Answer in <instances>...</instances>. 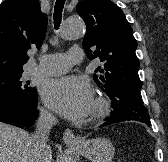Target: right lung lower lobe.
Wrapping results in <instances>:
<instances>
[{
    "mask_svg": "<svg viewBox=\"0 0 168 162\" xmlns=\"http://www.w3.org/2000/svg\"><path fill=\"white\" fill-rule=\"evenodd\" d=\"M37 95L29 102L0 98V122L17 127H29L37 118Z\"/></svg>",
    "mask_w": 168,
    "mask_h": 162,
    "instance_id": "1",
    "label": "right lung lower lobe"
}]
</instances>
